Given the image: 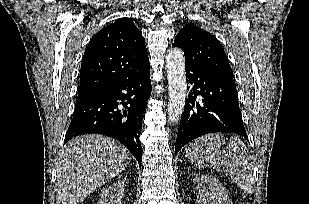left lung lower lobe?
Here are the masks:
<instances>
[{"mask_svg":"<svg viewBox=\"0 0 309 204\" xmlns=\"http://www.w3.org/2000/svg\"><path fill=\"white\" fill-rule=\"evenodd\" d=\"M189 94L176 139L175 154L187 143L213 132L236 133L248 140L235 81L199 66L186 65ZM201 96L202 102H197Z\"/></svg>","mask_w":309,"mask_h":204,"instance_id":"1","label":"left lung lower lobe"}]
</instances>
